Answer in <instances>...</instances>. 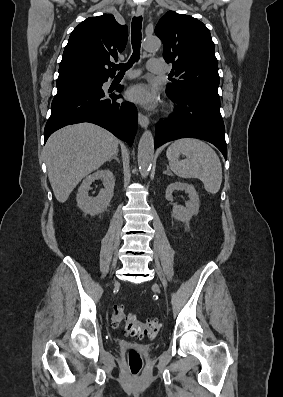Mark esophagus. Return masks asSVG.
Instances as JSON below:
<instances>
[{
    "label": "esophagus",
    "instance_id": "esophagus-1",
    "mask_svg": "<svg viewBox=\"0 0 283 397\" xmlns=\"http://www.w3.org/2000/svg\"><path fill=\"white\" fill-rule=\"evenodd\" d=\"M143 13H144L143 8L140 6L137 7L136 12H135L136 16H142ZM138 121H139V125L142 128H146L149 125L148 117L141 112L138 113Z\"/></svg>",
    "mask_w": 283,
    "mask_h": 397
}]
</instances>
